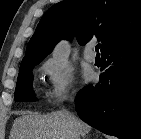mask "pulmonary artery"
<instances>
[{"label": "pulmonary artery", "instance_id": "obj_1", "mask_svg": "<svg viewBox=\"0 0 141 139\" xmlns=\"http://www.w3.org/2000/svg\"><path fill=\"white\" fill-rule=\"evenodd\" d=\"M83 57L87 62H94L95 61V53L92 50V46H87L84 50Z\"/></svg>", "mask_w": 141, "mask_h": 139}]
</instances>
